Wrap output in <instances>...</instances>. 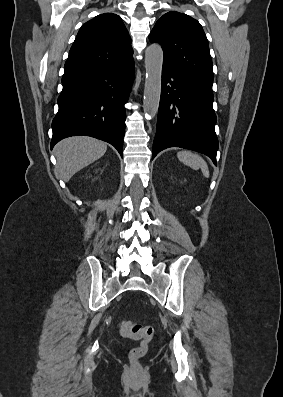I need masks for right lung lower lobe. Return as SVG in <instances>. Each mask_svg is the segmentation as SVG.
I'll list each match as a JSON object with an SVG mask.
<instances>
[{"label":"right lung lower lobe","instance_id":"98d812e1","mask_svg":"<svg viewBox=\"0 0 283 397\" xmlns=\"http://www.w3.org/2000/svg\"><path fill=\"white\" fill-rule=\"evenodd\" d=\"M134 61L62 80L52 121L51 149L63 138L86 135L112 144L123 156L126 113Z\"/></svg>","mask_w":283,"mask_h":397}]
</instances>
